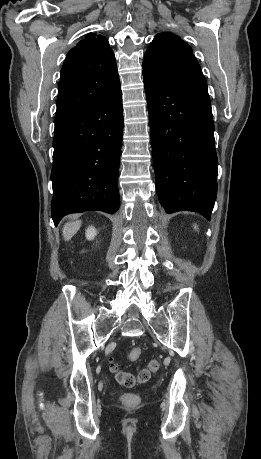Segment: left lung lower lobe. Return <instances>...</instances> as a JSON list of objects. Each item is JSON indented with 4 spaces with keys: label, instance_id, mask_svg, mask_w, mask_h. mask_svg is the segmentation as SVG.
<instances>
[{
    "label": "left lung lower lobe",
    "instance_id": "left-lung-lower-lobe-1",
    "mask_svg": "<svg viewBox=\"0 0 261 459\" xmlns=\"http://www.w3.org/2000/svg\"><path fill=\"white\" fill-rule=\"evenodd\" d=\"M156 175L167 213L196 211L210 220L217 154L207 84L181 83L143 69Z\"/></svg>",
    "mask_w": 261,
    "mask_h": 459
}]
</instances>
